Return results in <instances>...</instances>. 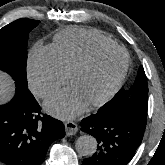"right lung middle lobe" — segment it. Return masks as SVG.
<instances>
[{"label":"right lung middle lobe","instance_id":"obj_1","mask_svg":"<svg viewBox=\"0 0 165 165\" xmlns=\"http://www.w3.org/2000/svg\"><path fill=\"white\" fill-rule=\"evenodd\" d=\"M39 21L22 18L0 30V70L27 86L26 62L29 32Z\"/></svg>","mask_w":165,"mask_h":165}]
</instances>
